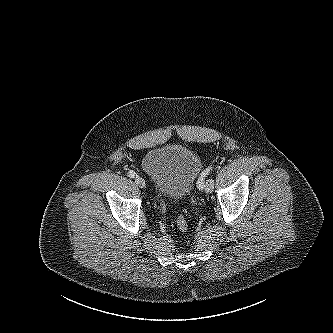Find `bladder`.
<instances>
[{
	"label": "bladder",
	"mask_w": 333,
	"mask_h": 333,
	"mask_svg": "<svg viewBox=\"0 0 333 333\" xmlns=\"http://www.w3.org/2000/svg\"><path fill=\"white\" fill-rule=\"evenodd\" d=\"M142 167L162 197L180 200L192 192L202 163L190 148L167 145L148 151L142 159Z\"/></svg>",
	"instance_id": "bladder-1"
}]
</instances>
